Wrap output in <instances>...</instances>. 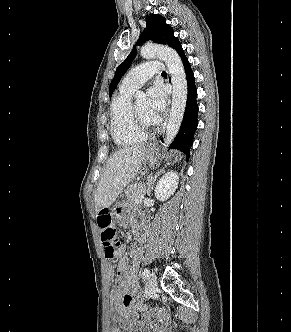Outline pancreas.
<instances>
[{
	"instance_id": "pancreas-1",
	"label": "pancreas",
	"mask_w": 291,
	"mask_h": 332,
	"mask_svg": "<svg viewBox=\"0 0 291 332\" xmlns=\"http://www.w3.org/2000/svg\"><path fill=\"white\" fill-rule=\"evenodd\" d=\"M146 194V184L137 183L129 185L125 192V197L130 202H135L136 199L143 198Z\"/></svg>"
}]
</instances>
